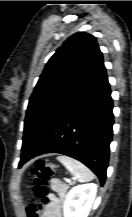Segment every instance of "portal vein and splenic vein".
Masks as SVG:
<instances>
[{
	"instance_id": "portal-vein-and-splenic-vein-1",
	"label": "portal vein and splenic vein",
	"mask_w": 132,
	"mask_h": 217,
	"mask_svg": "<svg viewBox=\"0 0 132 217\" xmlns=\"http://www.w3.org/2000/svg\"><path fill=\"white\" fill-rule=\"evenodd\" d=\"M65 181L68 182V183L71 182V180L68 179V178H65Z\"/></svg>"
}]
</instances>
